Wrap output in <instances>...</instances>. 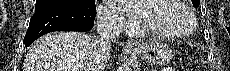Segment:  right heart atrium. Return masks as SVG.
I'll return each instance as SVG.
<instances>
[{
  "instance_id": "1",
  "label": "right heart atrium",
  "mask_w": 230,
  "mask_h": 71,
  "mask_svg": "<svg viewBox=\"0 0 230 71\" xmlns=\"http://www.w3.org/2000/svg\"><path fill=\"white\" fill-rule=\"evenodd\" d=\"M100 20L115 30L124 29L128 23L123 14L116 8L101 6L98 10Z\"/></svg>"
}]
</instances>
